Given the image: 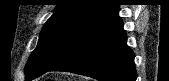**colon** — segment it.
Wrapping results in <instances>:
<instances>
[{
  "instance_id": "1",
  "label": "colon",
  "mask_w": 169,
  "mask_h": 81,
  "mask_svg": "<svg viewBox=\"0 0 169 81\" xmlns=\"http://www.w3.org/2000/svg\"><path fill=\"white\" fill-rule=\"evenodd\" d=\"M47 81H55L54 79H52V78H49Z\"/></svg>"
}]
</instances>
